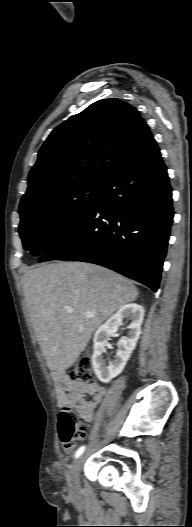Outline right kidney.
<instances>
[{"label": "right kidney", "mask_w": 192, "mask_h": 527, "mask_svg": "<svg viewBox=\"0 0 192 527\" xmlns=\"http://www.w3.org/2000/svg\"><path fill=\"white\" fill-rule=\"evenodd\" d=\"M144 317L142 306L131 303L121 307L105 324L100 326L94 334V350L92 356V366L98 379L103 383H108L118 376L124 369L131 353L136 347V343L141 334V324ZM127 318L131 322L127 338L120 339L118 342L119 350L113 361L108 364L103 360L105 347L108 345V338L117 330L123 319Z\"/></svg>", "instance_id": "obj_1"}]
</instances>
